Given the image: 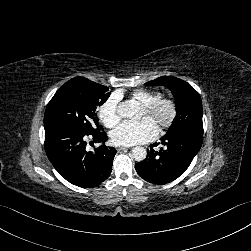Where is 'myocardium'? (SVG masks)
Here are the masks:
<instances>
[{"instance_id": "1", "label": "myocardium", "mask_w": 251, "mask_h": 251, "mask_svg": "<svg viewBox=\"0 0 251 251\" xmlns=\"http://www.w3.org/2000/svg\"><path fill=\"white\" fill-rule=\"evenodd\" d=\"M165 106L169 107L170 116L168 117V119H166L164 121H160L158 123V125L162 129H168V128L172 127L176 123V121L178 120V117H179L178 102L172 97L162 96V97L158 98L157 100H155L154 102H152L151 104L142 106V109L149 114H155L162 107H165Z\"/></svg>"}]
</instances>
